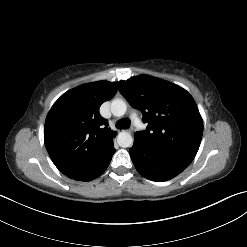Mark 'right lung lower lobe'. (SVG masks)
Wrapping results in <instances>:
<instances>
[{"label": "right lung lower lobe", "mask_w": 247, "mask_h": 247, "mask_svg": "<svg viewBox=\"0 0 247 247\" xmlns=\"http://www.w3.org/2000/svg\"><path fill=\"white\" fill-rule=\"evenodd\" d=\"M114 153H115V149L114 147H112L105 154V156L99 162H97L94 166H92L91 168L87 169L84 172H81L76 175L68 176V177L74 180H79V181H90V180L97 178L107 169Z\"/></svg>", "instance_id": "obj_1"}]
</instances>
